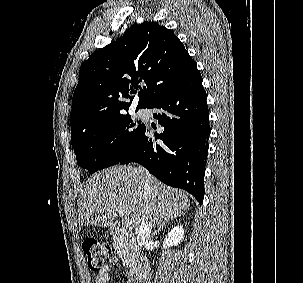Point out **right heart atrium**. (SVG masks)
Listing matches in <instances>:
<instances>
[{"label": "right heart atrium", "mask_w": 303, "mask_h": 283, "mask_svg": "<svg viewBox=\"0 0 303 283\" xmlns=\"http://www.w3.org/2000/svg\"><path fill=\"white\" fill-rule=\"evenodd\" d=\"M105 143L108 147H113L117 143V136L109 133L105 136Z\"/></svg>", "instance_id": "d8ad5b80"}]
</instances>
